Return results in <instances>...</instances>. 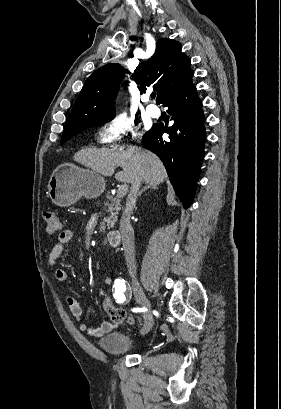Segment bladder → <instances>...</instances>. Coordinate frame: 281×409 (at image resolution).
Masks as SVG:
<instances>
[{
	"instance_id": "1",
	"label": "bladder",
	"mask_w": 281,
	"mask_h": 409,
	"mask_svg": "<svg viewBox=\"0 0 281 409\" xmlns=\"http://www.w3.org/2000/svg\"><path fill=\"white\" fill-rule=\"evenodd\" d=\"M97 344L105 354H128L138 348L136 338L124 329L112 330L108 335L99 336Z\"/></svg>"
}]
</instances>
